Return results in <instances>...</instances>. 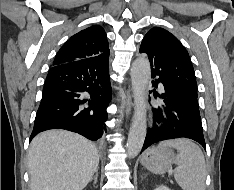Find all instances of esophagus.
I'll return each mask as SVG.
<instances>
[{"label":"esophagus","mask_w":234,"mask_h":190,"mask_svg":"<svg viewBox=\"0 0 234 190\" xmlns=\"http://www.w3.org/2000/svg\"><path fill=\"white\" fill-rule=\"evenodd\" d=\"M131 108H132V98L129 92H127V98L125 101V114L126 116H129L131 113Z\"/></svg>","instance_id":"obj_1"}]
</instances>
